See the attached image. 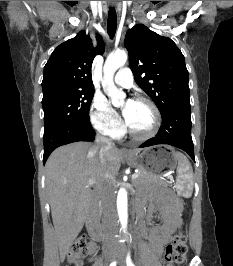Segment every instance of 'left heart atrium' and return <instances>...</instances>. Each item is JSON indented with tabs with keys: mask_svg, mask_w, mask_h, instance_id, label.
Returning <instances> with one entry per match:
<instances>
[{
	"mask_svg": "<svg viewBox=\"0 0 233 266\" xmlns=\"http://www.w3.org/2000/svg\"><path fill=\"white\" fill-rule=\"evenodd\" d=\"M133 103H134V101L128 100L127 106L123 110V116H124V119L128 125H129V123L131 121V117H132V105H133Z\"/></svg>",
	"mask_w": 233,
	"mask_h": 266,
	"instance_id": "39dd6f15",
	"label": "left heart atrium"
}]
</instances>
